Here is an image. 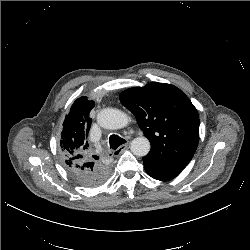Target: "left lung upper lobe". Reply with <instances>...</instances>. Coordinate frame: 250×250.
Wrapping results in <instances>:
<instances>
[{"label": "left lung upper lobe", "mask_w": 250, "mask_h": 250, "mask_svg": "<svg viewBox=\"0 0 250 250\" xmlns=\"http://www.w3.org/2000/svg\"><path fill=\"white\" fill-rule=\"evenodd\" d=\"M120 101L151 143L147 156L170 165L191 161L199 142V115L180 89L155 82L125 90Z\"/></svg>", "instance_id": "obj_1"}]
</instances>
